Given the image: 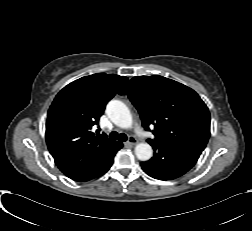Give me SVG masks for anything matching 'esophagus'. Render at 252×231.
I'll return each instance as SVG.
<instances>
[{
    "instance_id": "obj_1",
    "label": "esophagus",
    "mask_w": 252,
    "mask_h": 231,
    "mask_svg": "<svg viewBox=\"0 0 252 231\" xmlns=\"http://www.w3.org/2000/svg\"><path fill=\"white\" fill-rule=\"evenodd\" d=\"M137 143V140L133 136H129L128 141L125 143L128 146H133Z\"/></svg>"
}]
</instances>
